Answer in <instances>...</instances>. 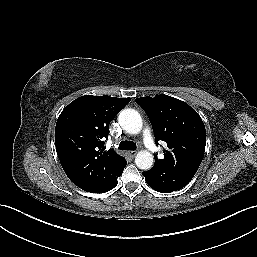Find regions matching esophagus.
I'll return each instance as SVG.
<instances>
[{
  "mask_svg": "<svg viewBox=\"0 0 257 257\" xmlns=\"http://www.w3.org/2000/svg\"><path fill=\"white\" fill-rule=\"evenodd\" d=\"M136 154H137V151H134V150L129 151V155H130L131 157H134Z\"/></svg>",
  "mask_w": 257,
  "mask_h": 257,
  "instance_id": "1",
  "label": "esophagus"
}]
</instances>
